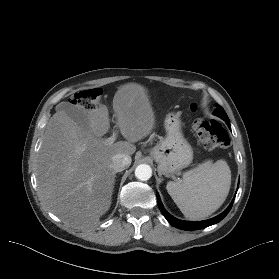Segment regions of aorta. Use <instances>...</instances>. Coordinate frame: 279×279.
<instances>
[{
  "instance_id": "1",
  "label": "aorta",
  "mask_w": 279,
  "mask_h": 279,
  "mask_svg": "<svg viewBox=\"0 0 279 279\" xmlns=\"http://www.w3.org/2000/svg\"><path fill=\"white\" fill-rule=\"evenodd\" d=\"M135 176L141 181H147L152 176V169L147 164H140L135 169Z\"/></svg>"
}]
</instances>
